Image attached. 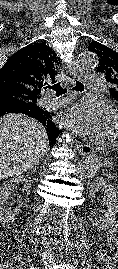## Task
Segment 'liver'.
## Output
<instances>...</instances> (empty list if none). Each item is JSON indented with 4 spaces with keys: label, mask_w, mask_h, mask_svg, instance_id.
<instances>
[{
    "label": "liver",
    "mask_w": 118,
    "mask_h": 269,
    "mask_svg": "<svg viewBox=\"0 0 118 269\" xmlns=\"http://www.w3.org/2000/svg\"><path fill=\"white\" fill-rule=\"evenodd\" d=\"M49 151L44 126L22 114L0 118V180L20 176Z\"/></svg>",
    "instance_id": "6515ba94"
}]
</instances>
